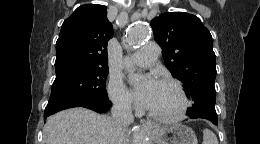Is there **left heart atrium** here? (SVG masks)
I'll use <instances>...</instances> for the list:
<instances>
[{"mask_svg": "<svg viewBox=\"0 0 260 144\" xmlns=\"http://www.w3.org/2000/svg\"><path fill=\"white\" fill-rule=\"evenodd\" d=\"M158 82L154 79H147L142 85L136 87L137 98L146 106L150 104L156 91Z\"/></svg>", "mask_w": 260, "mask_h": 144, "instance_id": "obj_1", "label": "left heart atrium"}]
</instances>
